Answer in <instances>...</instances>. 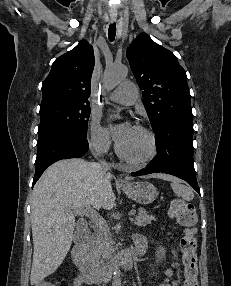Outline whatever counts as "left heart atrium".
<instances>
[{
	"label": "left heart atrium",
	"mask_w": 231,
	"mask_h": 286,
	"mask_svg": "<svg viewBox=\"0 0 231 286\" xmlns=\"http://www.w3.org/2000/svg\"><path fill=\"white\" fill-rule=\"evenodd\" d=\"M134 127L130 122H122L113 127V135L118 143L126 139Z\"/></svg>",
	"instance_id": "left-heart-atrium-1"
}]
</instances>
